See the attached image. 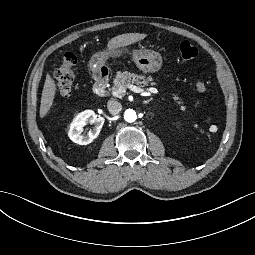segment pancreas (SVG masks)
<instances>
[{
  "mask_svg": "<svg viewBox=\"0 0 255 255\" xmlns=\"http://www.w3.org/2000/svg\"><path fill=\"white\" fill-rule=\"evenodd\" d=\"M114 84L121 89H131V86H137L140 88L148 86H157L155 79L152 76L146 77L134 73H129L127 71H118L115 75ZM114 89H116L114 87ZM173 101L177 106H180V111L184 112L186 110L185 106H182L183 101L174 93Z\"/></svg>",
  "mask_w": 255,
  "mask_h": 255,
  "instance_id": "pancreas-1",
  "label": "pancreas"
}]
</instances>
